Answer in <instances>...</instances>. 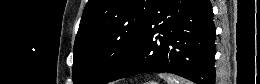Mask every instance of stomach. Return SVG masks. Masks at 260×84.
Segmentation results:
<instances>
[{"instance_id": "1", "label": "stomach", "mask_w": 260, "mask_h": 84, "mask_svg": "<svg viewBox=\"0 0 260 84\" xmlns=\"http://www.w3.org/2000/svg\"><path fill=\"white\" fill-rule=\"evenodd\" d=\"M147 84H157L156 82H153V81H150L149 83Z\"/></svg>"}]
</instances>
